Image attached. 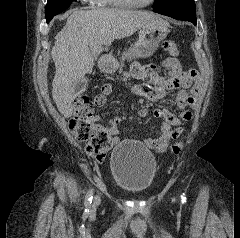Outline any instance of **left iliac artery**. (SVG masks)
<instances>
[{
  "mask_svg": "<svg viewBox=\"0 0 240 238\" xmlns=\"http://www.w3.org/2000/svg\"><path fill=\"white\" fill-rule=\"evenodd\" d=\"M185 196H182V202L184 203L185 202Z\"/></svg>",
  "mask_w": 240,
  "mask_h": 238,
  "instance_id": "obj_1",
  "label": "left iliac artery"
}]
</instances>
